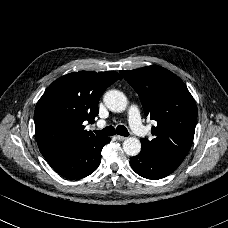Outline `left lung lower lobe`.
I'll use <instances>...</instances> for the list:
<instances>
[{"label":"left lung lower lobe","instance_id":"0a47b994","mask_svg":"<svg viewBox=\"0 0 228 228\" xmlns=\"http://www.w3.org/2000/svg\"><path fill=\"white\" fill-rule=\"evenodd\" d=\"M183 161L178 157L153 154L142 147L141 152L130 158L132 169L147 179H161L171 174Z\"/></svg>","mask_w":228,"mask_h":228}]
</instances>
